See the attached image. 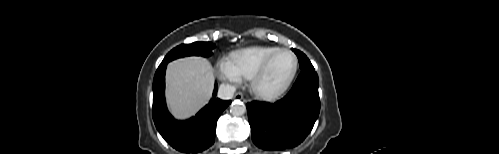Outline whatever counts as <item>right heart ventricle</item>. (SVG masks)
Returning <instances> with one entry per match:
<instances>
[{
  "mask_svg": "<svg viewBox=\"0 0 499 154\" xmlns=\"http://www.w3.org/2000/svg\"><path fill=\"white\" fill-rule=\"evenodd\" d=\"M277 47L252 46L233 52L229 60L241 78L250 79Z\"/></svg>",
  "mask_w": 499,
  "mask_h": 154,
  "instance_id": "1",
  "label": "right heart ventricle"
}]
</instances>
